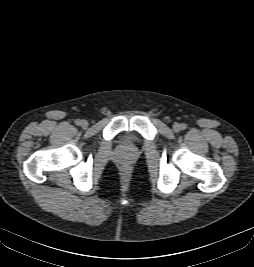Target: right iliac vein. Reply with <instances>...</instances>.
I'll return each instance as SVG.
<instances>
[{
	"label": "right iliac vein",
	"instance_id": "63e3f726",
	"mask_svg": "<svg viewBox=\"0 0 254 267\" xmlns=\"http://www.w3.org/2000/svg\"><path fill=\"white\" fill-rule=\"evenodd\" d=\"M88 125H89L88 121H86V120H82V121H81V126H82L83 128H87Z\"/></svg>",
	"mask_w": 254,
	"mask_h": 267
}]
</instances>
